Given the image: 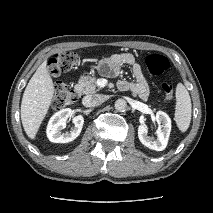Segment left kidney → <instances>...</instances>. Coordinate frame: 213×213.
<instances>
[{
    "label": "left kidney",
    "instance_id": "5707ae66",
    "mask_svg": "<svg viewBox=\"0 0 213 213\" xmlns=\"http://www.w3.org/2000/svg\"><path fill=\"white\" fill-rule=\"evenodd\" d=\"M156 121L159 124V127L156 131V140L150 138L147 135L148 128L145 125H139L138 137L140 142L149 149L162 151L166 148L168 143L169 135L171 132V119L165 112L158 111L156 113Z\"/></svg>",
    "mask_w": 213,
    "mask_h": 213
}]
</instances>
